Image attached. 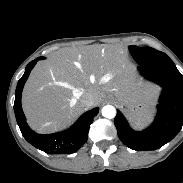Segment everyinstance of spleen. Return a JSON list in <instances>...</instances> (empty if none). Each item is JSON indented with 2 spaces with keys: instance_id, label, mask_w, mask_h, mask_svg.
Wrapping results in <instances>:
<instances>
[{
  "instance_id": "1",
  "label": "spleen",
  "mask_w": 183,
  "mask_h": 183,
  "mask_svg": "<svg viewBox=\"0 0 183 183\" xmlns=\"http://www.w3.org/2000/svg\"><path fill=\"white\" fill-rule=\"evenodd\" d=\"M150 120H151V116L146 115V117L143 120H140V121H143V122H139L138 125H143L144 123L149 122Z\"/></svg>"
}]
</instances>
